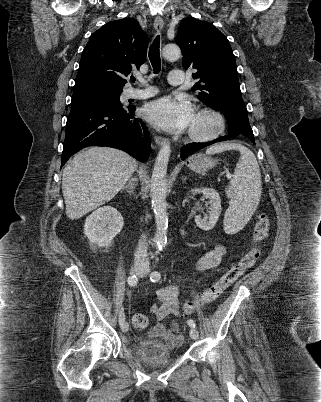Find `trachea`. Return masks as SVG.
Returning <instances> with one entry per match:
<instances>
[{
  "label": "trachea",
  "mask_w": 321,
  "mask_h": 402,
  "mask_svg": "<svg viewBox=\"0 0 321 402\" xmlns=\"http://www.w3.org/2000/svg\"><path fill=\"white\" fill-rule=\"evenodd\" d=\"M149 59L153 67L154 74H158L161 70V59H160V36L157 35L149 49ZM135 82V78L131 79Z\"/></svg>",
  "instance_id": "3493384b"
}]
</instances>
